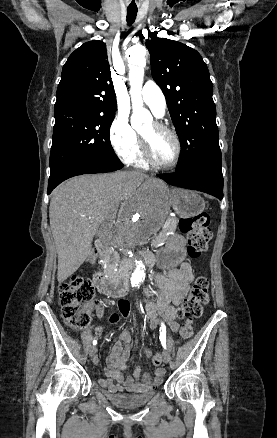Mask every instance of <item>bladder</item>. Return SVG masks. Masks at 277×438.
<instances>
[{
	"label": "bladder",
	"instance_id": "obj_1",
	"mask_svg": "<svg viewBox=\"0 0 277 438\" xmlns=\"http://www.w3.org/2000/svg\"><path fill=\"white\" fill-rule=\"evenodd\" d=\"M158 394L155 389H147L141 393L125 394L123 392L105 391V398L110 404L125 409H136L148 404Z\"/></svg>",
	"mask_w": 277,
	"mask_h": 438
}]
</instances>
